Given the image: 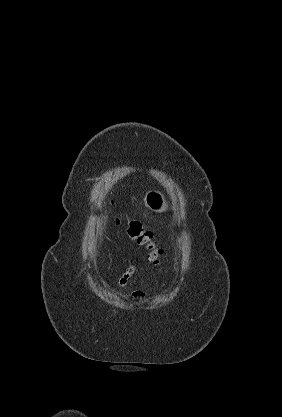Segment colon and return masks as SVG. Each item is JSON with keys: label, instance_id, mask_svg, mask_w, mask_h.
<instances>
[{"label": "colon", "instance_id": "obj_1", "mask_svg": "<svg viewBox=\"0 0 282 417\" xmlns=\"http://www.w3.org/2000/svg\"><path fill=\"white\" fill-rule=\"evenodd\" d=\"M117 223L126 227L131 238L147 247L150 259L155 265H159L163 260V250L155 240L153 233L145 228L138 220H126L121 213L116 214Z\"/></svg>", "mask_w": 282, "mask_h": 417}]
</instances>
